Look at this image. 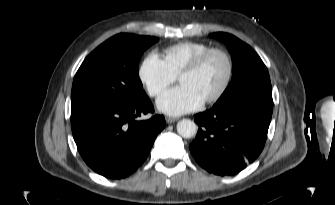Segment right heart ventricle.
I'll list each match as a JSON object with an SVG mask.
<instances>
[{
    "label": "right heart ventricle",
    "instance_id": "obj_1",
    "mask_svg": "<svg viewBox=\"0 0 335 205\" xmlns=\"http://www.w3.org/2000/svg\"><path fill=\"white\" fill-rule=\"evenodd\" d=\"M210 48V45L202 42H179L163 50L162 60L171 73L178 76L196 57Z\"/></svg>",
    "mask_w": 335,
    "mask_h": 205
}]
</instances>
